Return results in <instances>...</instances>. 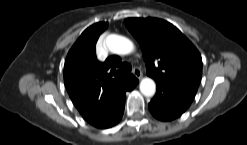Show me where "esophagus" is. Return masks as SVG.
Segmentation results:
<instances>
[{
  "label": "esophagus",
  "instance_id": "34e87169",
  "mask_svg": "<svg viewBox=\"0 0 247 145\" xmlns=\"http://www.w3.org/2000/svg\"><path fill=\"white\" fill-rule=\"evenodd\" d=\"M133 74L138 78L141 79L142 78V72L139 68H134L133 70Z\"/></svg>",
  "mask_w": 247,
  "mask_h": 145
}]
</instances>
